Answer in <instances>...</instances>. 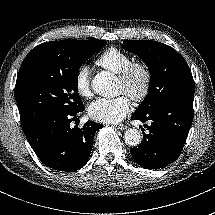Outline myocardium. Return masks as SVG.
Returning a JSON list of instances; mask_svg holds the SVG:
<instances>
[{"instance_id": "f54148a6", "label": "myocardium", "mask_w": 215, "mask_h": 215, "mask_svg": "<svg viewBox=\"0 0 215 215\" xmlns=\"http://www.w3.org/2000/svg\"><path fill=\"white\" fill-rule=\"evenodd\" d=\"M136 72L142 75V86L139 92L134 93L127 89L126 94L134 102L142 103L148 98L152 89L153 74L149 64L143 60H132L118 73V79L128 85Z\"/></svg>"}]
</instances>
